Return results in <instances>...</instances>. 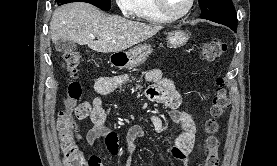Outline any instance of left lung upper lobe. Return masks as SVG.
<instances>
[{
	"label": "left lung upper lobe",
	"instance_id": "left-lung-upper-lobe-1",
	"mask_svg": "<svg viewBox=\"0 0 277 166\" xmlns=\"http://www.w3.org/2000/svg\"><path fill=\"white\" fill-rule=\"evenodd\" d=\"M201 18L211 20L236 30L237 18L232 0H198Z\"/></svg>",
	"mask_w": 277,
	"mask_h": 166
}]
</instances>
